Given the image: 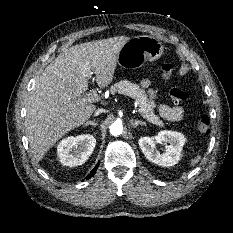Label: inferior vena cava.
I'll list each match as a JSON object with an SVG mask.
<instances>
[{
    "label": "inferior vena cava",
    "instance_id": "inferior-vena-cava-1",
    "mask_svg": "<svg viewBox=\"0 0 233 233\" xmlns=\"http://www.w3.org/2000/svg\"><path fill=\"white\" fill-rule=\"evenodd\" d=\"M103 112H105V109H103V108H100V109H97L96 111H95V116H97V115H99L100 113H103Z\"/></svg>",
    "mask_w": 233,
    "mask_h": 233
}]
</instances>
